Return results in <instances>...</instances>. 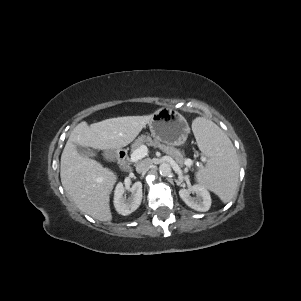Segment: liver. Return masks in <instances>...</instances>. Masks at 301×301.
<instances>
[{
  "mask_svg": "<svg viewBox=\"0 0 301 301\" xmlns=\"http://www.w3.org/2000/svg\"><path fill=\"white\" fill-rule=\"evenodd\" d=\"M151 117L110 118L90 126L84 121L73 129L61 155L60 177L63 188L82 212L99 221L112 220L109 198L117 176L99 162L80 155L76 145L120 149L139 135Z\"/></svg>",
  "mask_w": 301,
  "mask_h": 301,
  "instance_id": "liver-1",
  "label": "liver"
}]
</instances>
